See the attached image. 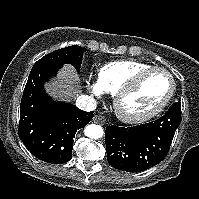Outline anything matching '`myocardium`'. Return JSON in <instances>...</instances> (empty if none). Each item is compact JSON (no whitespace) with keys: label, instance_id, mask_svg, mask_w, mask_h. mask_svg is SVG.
Here are the masks:
<instances>
[{"label":"myocardium","instance_id":"1","mask_svg":"<svg viewBox=\"0 0 199 199\" xmlns=\"http://www.w3.org/2000/svg\"><path fill=\"white\" fill-rule=\"evenodd\" d=\"M156 72L164 73L169 77L171 81V87L166 97L155 108L147 112L140 114H130L126 112L122 107L123 99L138 87L139 83L145 76ZM175 90H176V81L173 74L169 70L162 67H153V66L142 69L136 72L127 82H125L114 93L113 104L116 115L121 121L129 124H138L146 122L157 116L160 112H162V110L168 105V103L171 101L172 97L174 96Z\"/></svg>","mask_w":199,"mask_h":199}]
</instances>
